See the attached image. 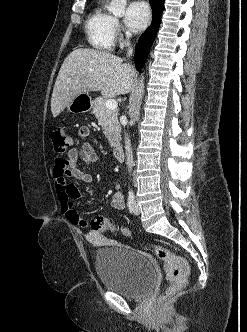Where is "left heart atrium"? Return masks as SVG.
<instances>
[{
    "mask_svg": "<svg viewBox=\"0 0 247 332\" xmlns=\"http://www.w3.org/2000/svg\"><path fill=\"white\" fill-rule=\"evenodd\" d=\"M150 19V10L144 1H134L129 4L125 14V23L132 31L144 29Z\"/></svg>",
    "mask_w": 247,
    "mask_h": 332,
    "instance_id": "39dd6f15",
    "label": "left heart atrium"
}]
</instances>
